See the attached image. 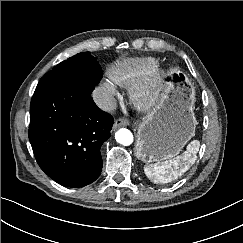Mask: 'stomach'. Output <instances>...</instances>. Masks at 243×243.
<instances>
[{"label": "stomach", "mask_w": 243, "mask_h": 243, "mask_svg": "<svg viewBox=\"0 0 243 243\" xmlns=\"http://www.w3.org/2000/svg\"><path fill=\"white\" fill-rule=\"evenodd\" d=\"M168 76L159 101L138 124L135 151L145 163L171 160L195 134V89L182 71Z\"/></svg>", "instance_id": "1"}]
</instances>
